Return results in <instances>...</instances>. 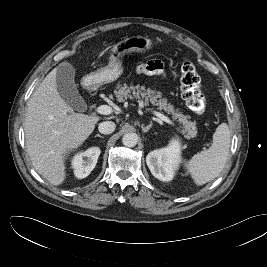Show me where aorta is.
Masks as SVG:
<instances>
[{"label":"aorta","instance_id":"762f6f07","mask_svg":"<svg viewBox=\"0 0 267 267\" xmlns=\"http://www.w3.org/2000/svg\"><path fill=\"white\" fill-rule=\"evenodd\" d=\"M138 142V136L136 133H126L122 137V143L127 147H134Z\"/></svg>","mask_w":267,"mask_h":267}]
</instances>
